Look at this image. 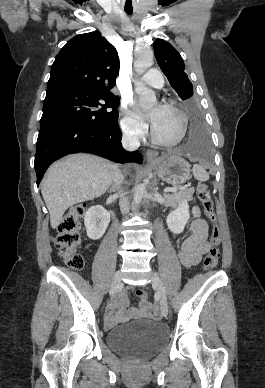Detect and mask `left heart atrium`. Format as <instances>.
Returning a JSON list of instances; mask_svg holds the SVG:
<instances>
[{
    "instance_id": "obj_1",
    "label": "left heart atrium",
    "mask_w": 265,
    "mask_h": 388,
    "mask_svg": "<svg viewBox=\"0 0 265 388\" xmlns=\"http://www.w3.org/2000/svg\"><path fill=\"white\" fill-rule=\"evenodd\" d=\"M162 107H158L156 110H154L153 112L147 114L146 116L154 123L157 122L158 118H159V113H160V110H161ZM139 113L142 115V112L140 110H138Z\"/></svg>"
}]
</instances>
